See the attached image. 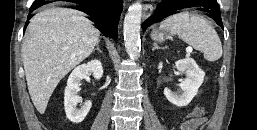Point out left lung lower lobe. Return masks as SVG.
<instances>
[{
	"label": "left lung lower lobe",
	"instance_id": "left-lung-lower-lobe-1",
	"mask_svg": "<svg viewBox=\"0 0 257 130\" xmlns=\"http://www.w3.org/2000/svg\"><path fill=\"white\" fill-rule=\"evenodd\" d=\"M189 7H200L199 10L207 12L208 16L224 29L217 0H164L158 4L153 15L143 22L142 29L144 30L151 24L160 22L180 9Z\"/></svg>",
	"mask_w": 257,
	"mask_h": 130
}]
</instances>
